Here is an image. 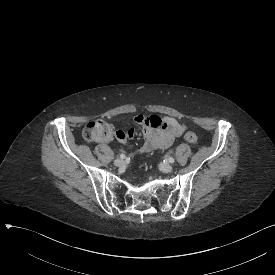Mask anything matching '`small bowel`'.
Here are the masks:
<instances>
[{
	"label": "small bowel",
	"instance_id": "obj_1",
	"mask_svg": "<svg viewBox=\"0 0 275 275\" xmlns=\"http://www.w3.org/2000/svg\"><path fill=\"white\" fill-rule=\"evenodd\" d=\"M134 122L143 127V143L138 149V153L145 154L157 149L168 148L176 137L185 131V125L179 123L174 118H160L159 115L145 116L137 114ZM135 129L130 128L127 132L119 129L116 137L125 143L135 136ZM127 137V140L125 138Z\"/></svg>",
	"mask_w": 275,
	"mask_h": 275
}]
</instances>
